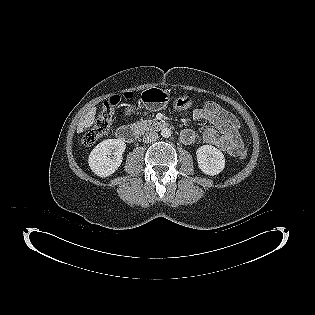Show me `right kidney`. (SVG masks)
I'll return each mask as SVG.
<instances>
[{
	"label": "right kidney",
	"mask_w": 315,
	"mask_h": 315,
	"mask_svg": "<svg viewBox=\"0 0 315 315\" xmlns=\"http://www.w3.org/2000/svg\"><path fill=\"white\" fill-rule=\"evenodd\" d=\"M126 144L119 139H107L99 143L89 155L90 169L100 177L112 175L122 163Z\"/></svg>",
	"instance_id": "obj_1"
}]
</instances>
